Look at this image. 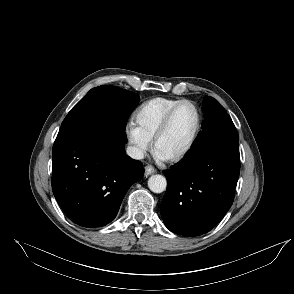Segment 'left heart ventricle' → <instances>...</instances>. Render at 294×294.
Listing matches in <instances>:
<instances>
[{
    "label": "left heart ventricle",
    "instance_id": "obj_1",
    "mask_svg": "<svg viewBox=\"0 0 294 294\" xmlns=\"http://www.w3.org/2000/svg\"><path fill=\"white\" fill-rule=\"evenodd\" d=\"M196 122L197 115L194 107L190 104L181 106L158 144V154L167 158L181 151L190 140Z\"/></svg>",
    "mask_w": 294,
    "mask_h": 294
}]
</instances>
